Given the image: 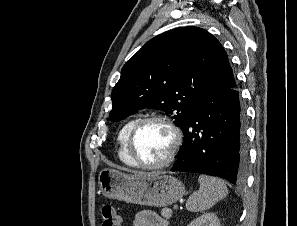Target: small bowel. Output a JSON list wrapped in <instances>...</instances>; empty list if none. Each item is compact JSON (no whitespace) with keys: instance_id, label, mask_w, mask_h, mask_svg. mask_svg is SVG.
Here are the masks:
<instances>
[{"instance_id":"obj_1","label":"small bowel","mask_w":297,"mask_h":226,"mask_svg":"<svg viewBox=\"0 0 297 226\" xmlns=\"http://www.w3.org/2000/svg\"><path fill=\"white\" fill-rule=\"evenodd\" d=\"M132 226H168L167 221L154 211L137 212L132 219Z\"/></svg>"}]
</instances>
